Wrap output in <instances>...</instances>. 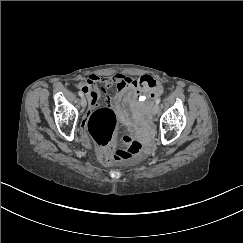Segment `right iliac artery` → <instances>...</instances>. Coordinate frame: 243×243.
<instances>
[{"instance_id": "1", "label": "right iliac artery", "mask_w": 243, "mask_h": 243, "mask_svg": "<svg viewBox=\"0 0 243 243\" xmlns=\"http://www.w3.org/2000/svg\"><path fill=\"white\" fill-rule=\"evenodd\" d=\"M80 97H83V93L81 91L78 92Z\"/></svg>"}]
</instances>
